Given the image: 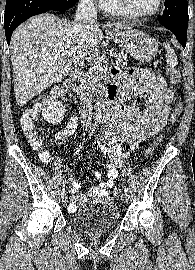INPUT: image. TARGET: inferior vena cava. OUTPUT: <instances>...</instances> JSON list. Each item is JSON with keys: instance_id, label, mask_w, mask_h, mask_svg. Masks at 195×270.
<instances>
[{"instance_id": "inferior-vena-cava-1", "label": "inferior vena cava", "mask_w": 195, "mask_h": 270, "mask_svg": "<svg viewBox=\"0 0 195 270\" xmlns=\"http://www.w3.org/2000/svg\"><path fill=\"white\" fill-rule=\"evenodd\" d=\"M75 31L79 34V49L77 50L74 56V64L75 66H84L85 56L87 55L88 49L84 43V38L89 30L94 24H96L97 20V11L94 7L93 0H80L78 4V9L75 15ZM83 109L80 111L81 118L84 122H90L92 117V103L89 99L84 100Z\"/></svg>"}]
</instances>
